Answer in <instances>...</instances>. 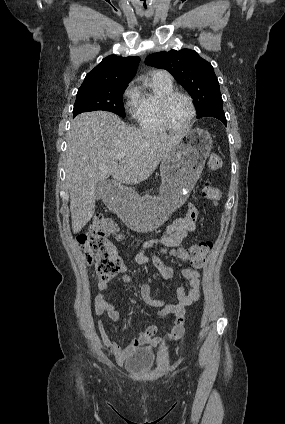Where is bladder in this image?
Wrapping results in <instances>:
<instances>
[{
	"label": "bladder",
	"mask_w": 285,
	"mask_h": 424,
	"mask_svg": "<svg viewBox=\"0 0 285 424\" xmlns=\"http://www.w3.org/2000/svg\"><path fill=\"white\" fill-rule=\"evenodd\" d=\"M156 351L151 347L134 349L126 360V367L137 373L148 368L155 358Z\"/></svg>",
	"instance_id": "1"
}]
</instances>
